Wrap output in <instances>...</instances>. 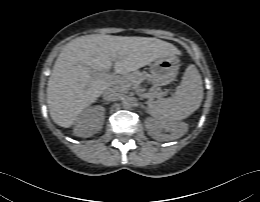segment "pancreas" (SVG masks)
I'll use <instances>...</instances> for the list:
<instances>
[{"mask_svg":"<svg viewBox=\"0 0 260 202\" xmlns=\"http://www.w3.org/2000/svg\"><path fill=\"white\" fill-rule=\"evenodd\" d=\"M150 76L145 72L135 71L121 78L117 83L118 87L122 92L128 91L132 86L137 85L145 80H149ZM151 96H155V92L150 93Z\"/></svg>","mask_w":260,"mask_h":202,"instance_id":"obj_1","label":"pancreas"}]
</instances>
